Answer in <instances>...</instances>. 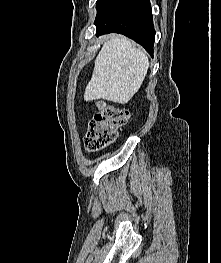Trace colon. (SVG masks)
Masks as SVG:
<instances>
[{"instance_id": "colon-1", "label": "colon", "mask_w": 221, "mask_h": 263, "mask_svg": "<svg viewBox=\"0 0 221 263\" xmlns=\"http://www.w3.org/2000/svg\"><path fill=\"white\" fill-rule=\"evenodd\" d=\"M98 112L89 122L85 146L89 152H97L118 137V132L129 119V111L105 102L97 103Z\"/></svg>"}]
</instances>
